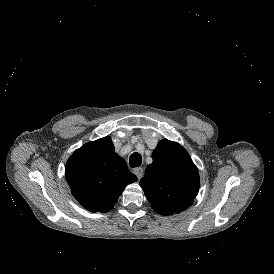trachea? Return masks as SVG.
<instances>
[{
	"instance_id": "1",
	"label": "trachea",
	"mask_w": 274,
	"mask_h": 274,
	"mask_svg": "<svg viewBox=\"0 0 274 274\" xmlns=\"http://www.w3.org/2000/svg\"><path fill=\"white\" fill-rule=\"evenodd\" d=\"M142 162V157L139 153H133L130 156V160H129V164L130 167L134 168V167H139L141 165Z\"/></svg>"
}]
</instances>
